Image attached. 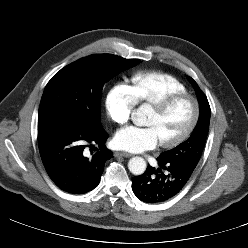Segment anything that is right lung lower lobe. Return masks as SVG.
I'll return each mask as SVG.
<instances>
[{"mask_svg": "<svg viewBox=\"0 0 248 248\" xmlns=\"http://www.w3.org/2000/svg\"><path fill=\"white\" fill-rule=\"evenodd\" d=\"M107 138L108 134L102 126L93 131L59 123L38 126L43 165L51 180L61 190L71 194L87 193L99 184L105 162L113 157L104 145ZM87 144H98L101 147L88 158L83 154Z\"/></svg>", "mask_w": 248, "mask_h": 248, "instance_id": "obj_1", "label": "right lung lower lobe"}]
</instances>
